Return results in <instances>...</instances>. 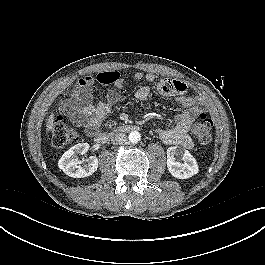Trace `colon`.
<instances>
[{
	"label": "colon",
	"mask_w": 265,
	"mask_h": 265,
	"mask_svg": "<svg viewBox=\"0 0 265 265\" xmlns=\"http://www.w3.org/2000/svg\"><path fill=\"white\" fill-rule=\"evenodd\" d=\"M115 74L106 73L99 74L96 78L99 80L105 79L111 81ZM213 122L209 116L202 113L198 116L196 122L192 126V133L200 144L206 145L211 141V131ZM78 140V133L70 126L64 116H58L54 122L52 132V142L56 147H64L68 144L75 143Z\"/></svg>",
	"instance_id": "1"
}]
</instances>
